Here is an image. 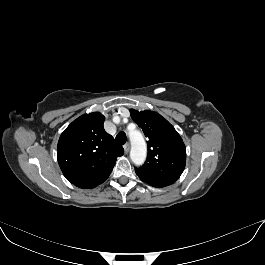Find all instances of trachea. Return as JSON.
<instances>
[{
  "mask_svg": "<svg viewBox=\"0 0 265 265\" xmlns=\"http://www.w3.org/2000/svg\"><path fill=\"white\" fill-rule=\"evenodd\" d=\"M116 141L121 144L124 145L126 143V134L124 132H120L116 135Z\"/></svg>",
  "mask_w": 265,
  "mask_h": 265,
  "instance_id": "trachea-1",
  "label": "trachea"
}]
</instances>
